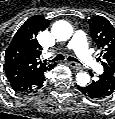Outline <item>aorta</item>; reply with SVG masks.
<instances>
[{"mask_svg": "<svg viewBox=\"0 0 115 119\" xmlns=\"http://www.w3.org/2000/svg\"><path fill=\"white\" fill-rule=\"evenodd\" d=\"M52 33L59 41L68 40L73 33L72 26L65 21H58L52 27ZM90 82V75L86 72L77 73L76 83L79 86H86Z\"/></svg>", "mask_w": 115, "mask_h": 119, "instance_id": "aorta-1", "label": "aorta"}]
</instances>
